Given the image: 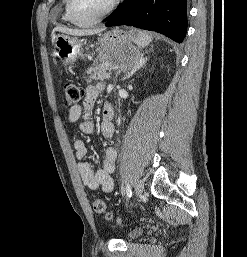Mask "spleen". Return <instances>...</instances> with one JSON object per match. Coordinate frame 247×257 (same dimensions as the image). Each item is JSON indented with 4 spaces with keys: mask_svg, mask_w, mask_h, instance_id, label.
<instances>
[{
    "mask_svg": "<svg viewBox=\"0 0 247 257\" xmlns=\"http://www.w3.org/2000/svg\"><path fill=\"white\" fill-rule=\"evenodd\" d=\"M134 42L138 46L145 47L151 42V36L146 32L139 31V34L134 39Z\"/></svg>",
    "mask_w": 247,
    "mask_h": 257,
    "instance_id": "spleen-1",
    "label": "spleen"
}]
</instances>
